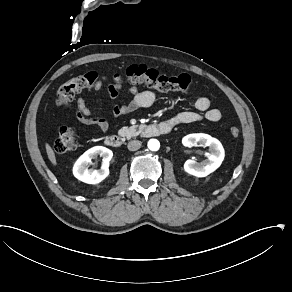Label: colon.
Instances as JSON below:
<instances>
[{
    "label": "colon",
    "mask_w": 292,
    "mask_h": 292,
    "mask_svg": "<svg viewBox=\"0 0 292 292\" xmlns=\"http://www.w3.org/2000/svg\"><path fill=\"white\" fill-rule=\"evenodd\" d=\"M125 83L143 84L160 91L186 92L190 89L191 78L186 74L175 77L162 76L156 70L143 65L130 66L125 75L103 76L96 72H89L65 82L58 91L56 102L58 106H68L75 94L82 90L95 87L118 90ZM230 132L233 136H237L239 129L233 126L230 128ZM77 144V135L73 128L63 127L59 130L55 140L57 152L71 151L76 148Z\"/></svg>",
    "instance_id": "1"
}]
</instances>
